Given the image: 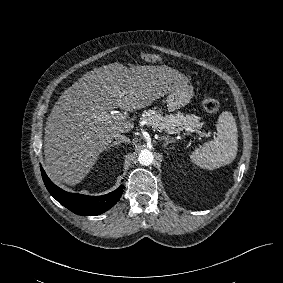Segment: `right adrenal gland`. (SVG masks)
<instances>
[{"instance_id":"right-adrenal-gland-1","label":"right adrenal gland","mask_w":283,"mask_h":283,"mask_svg":"<svg viewBox=\"0 0 283 283\" xmlns=\"http://www.w3.org/2000/svg\"><path fill=\"white\" fill-rule=\"evenodd\" d=\"M119 145H121V142H120V141H114L112 144L109 145L108 148L110 149L111 147L119 146Z\"/></svg>"}]
</instances>
